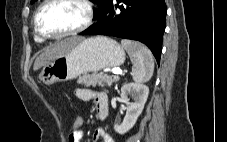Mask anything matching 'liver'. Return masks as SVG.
Here are the masks:
<instances>
[{
  "instance_id": "1",
  "label": "liver",
  "mask_w": 227,
  "mask_h": 142,
  "mask_svg": "<svg viewBox=\"0 0 227 142\" xmlns=\"http://www.w3.org/2000/svg\"><path fill=\"white\" fill-rule=\"evenodd\" d=\"M82 40H84L82 37H70L62 40L50 48H47L43 53L40 54V56L36 58L33 65V70L37 71L41 67L46 66L50 61L63 55Z\"/></svg>"
}]
</instances>
